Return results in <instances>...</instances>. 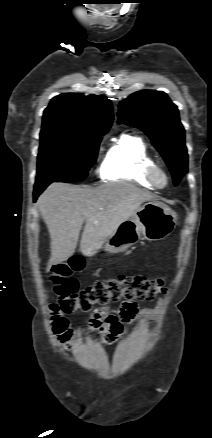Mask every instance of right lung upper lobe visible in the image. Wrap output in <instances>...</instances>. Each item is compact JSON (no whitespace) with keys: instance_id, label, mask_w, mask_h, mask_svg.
I'll list each match as a JSON object with an SVG mask.
<instances>
[{"instance_id":"obj_1","label":"right lung upper lobe","mask_w":212,"mask_h":438,"mask_svg":"<svg viewBox=\"0 0 212 438\" xmlns=\"http://www.w3.org/2000/svg\"><path fill=\"white\" fill-rule=\"evenodd\" d=\"M112 121L111 103L105 96L64 93L54 97L44 110L41 133L104 135Z\"/></svg>"}]
</instances>
